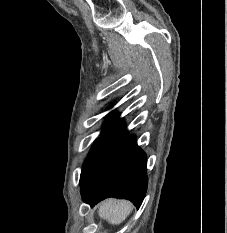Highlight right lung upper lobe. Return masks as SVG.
<instances>
[{
	"mask_svg": "<svg viewBox=\"0 0 227 233\" xmlns=\"http://www.w3.org/2000/svg\"><path fill=\"white\" fill-rule=\"evenodd\" d=\"M126 134L124 123L118 119L115 113H110L106 118L102 135H114L121 138Z\"/></svg>",
	"mask_w": 227,
	"mask_h": 233,
	"instance_id": "obj_1",
	"label": "right lung upper lobe"
}]
</instances>
